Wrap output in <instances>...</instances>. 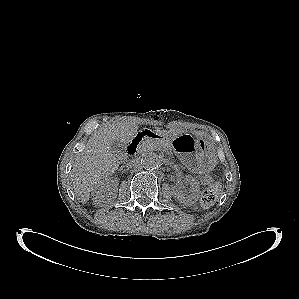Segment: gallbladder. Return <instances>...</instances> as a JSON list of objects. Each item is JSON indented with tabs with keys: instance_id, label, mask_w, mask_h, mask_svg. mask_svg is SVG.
<instances>
[{
	"instance_id": "bac80fb5",
	"label": "gallbladder",
	"mask_w": 299,
	"mask_h": 299,
	"mask_svg": "<svg viewBox=\"0 0 299 299\" xmlns=\"http://www.w3.org/2000/svg\"><path fill=\"white\" fill-rule=\"evenodd\" d=\"M111 151L114 155H116L118 158H121L126 153V145L120 141H114L111 144Z\"/></svg>"
}]
</instances>
